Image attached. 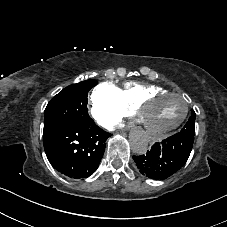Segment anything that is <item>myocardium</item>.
Instances as JSON below:
<instances>
[{"label":"myocardium","instance_id":"obj_1","mask_svg":"<svg viewBox=\"0 0 227 227\" xmlns=\"http://www.w3.org/2000/svg\"><path fill=\"white\" fill-rule=\"evenodd\" d=\"M164 95H175L178 97H181L184 102H185V109L184 112L182 114V116L180 117V119L174 123L172 126L166 128V129H150V128H145V132L151 135H159V134H164V133H168V132H173L176 129H178L182 123L186 120L188 113H189V101L187 96L179 91H170V90H163V91H159V92H154L151 94H148L146 96H144L143 98H141L135 105L133 111H134V115L136 117V122L140 124V111L141 109L146 106L148 103H150L151 101L164 96Z\"/></svg>","mask_w":227,"mask_h":227}]
</instances>
